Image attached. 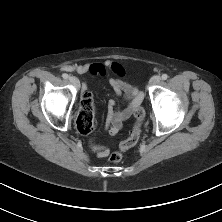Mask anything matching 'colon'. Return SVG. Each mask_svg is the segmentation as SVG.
<instances>
[{"label":"colon","mask_w":222,"mask_h":222,"mask_svg":"<svg viewBox=\"0 0 222 222\" xmlns=\"http://www.w3.org/2000/svg\"><path fill=\"white\" fill-rule=\"evenodd\" d=\"M116 67L115 65L113 66ZM95 116V108L92 94L88 91L83 92L80 102V110L76 118V128L81 134H88L92 128ZM145 117V111L139 107L135 111L136 124L130 136L120 143V149L125 151L137 144L141 135V125ZM122 159L121 152H114L110 155L109 160L113 163L119 162Z\"/></svg>","instance_id":"1"}]
</instances>
